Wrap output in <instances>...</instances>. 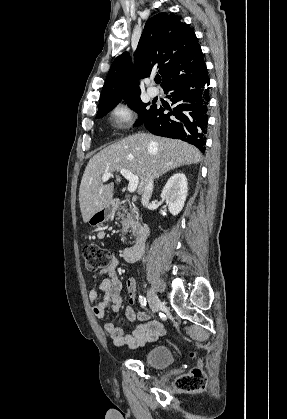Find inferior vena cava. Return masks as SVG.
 <instances>
[{
	"label": "inferior vena cava",
	"mask_w": 287,
	"mask_h": 419,
	"mask_svg": "<svg viewBox=\"0 0 287 419\" xmlns=\"http://www.w3.org/2000/svg\"><path fill=\"white\" fill-rule=\"evenodd\" d=\"M153 180H154L153 176H149L146 186L142 192L141 203L145 207L148 206L149 200L153 192V182H154Z\"/></svg>",
	"instance_id": "inferior-vena-cava-1"
}]
</instances>
